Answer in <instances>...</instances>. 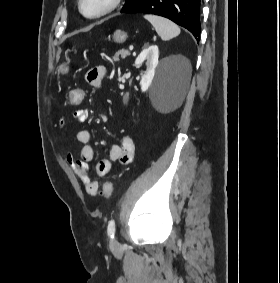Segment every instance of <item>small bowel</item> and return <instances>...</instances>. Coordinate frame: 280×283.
<instances>
[{
  "mask_svg": "<svg viewBox=\"0 0 280 283\" xmlns=\"http://www.w3.org/2000/svg\"><path fill=\"white\" fill-rule=\"evenodd\" d=\"M106 75L103 67L91 70L87 74V82L90 86L101 87ZM89 118V111L86 109H77L73 113V119L77 122H83ZM104 120L107 117L103 116ZM70 121L69 118H62L60 126L64 127ZM76 139L82 144L81 155L79 158L68 153L65 157L66 163L71 167L75 174L81 180L85 191L90 196H95L99 189L97 180L91 177L87 163L94 158V149L90 145V133L87 130H79L76 133ZM135 153V145L129 136H123L121 143L113 145L107 158L101 159L96 164V174L100 177L107 176L112 170V164L119 162L121 165H127L132 162Z\"/></svg>",
  "mask_w": 280,
  "mask_h": 283,
  "instance_id": "small-bowel-1",
  "label": "small bowel"
}]
</instances>
